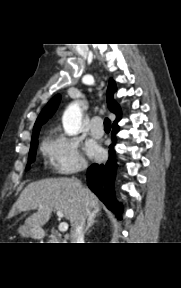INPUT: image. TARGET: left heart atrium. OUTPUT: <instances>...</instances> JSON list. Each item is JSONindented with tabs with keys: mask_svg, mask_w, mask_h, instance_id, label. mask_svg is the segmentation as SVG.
<instances>
[{
	"mask_svg": "<svg viewBox=\"0 0 181 288\" xmlns=\"http://www.w3.org/2000/svg\"><path fill=\"white\" fill-rule=\"evenodd\" d=\"M86 151L93 158H99L101 156V150L94 144L87 145Z\"/></svg>",
	"mask_w": 181,
	"mask_h": 288,
	"instance_id": "39dd6f15",
	"label": "left heart atrium"
}]
</instances>
